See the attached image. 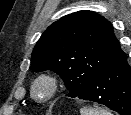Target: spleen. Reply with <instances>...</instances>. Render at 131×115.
I'll return each mask as SVG.
<instances>
[{"mask_svg":"<svg viewBox=\"0 0 131 115\" xmlns=\"http://www.w3.org/2000/svg\"><path fill=\"white\" fill-rule=\"evenodd\" d=\"M81 115H112L110 112L104 109H92V108H81Z\"/></svg>","mask_w":131,"mask_h":115,"instance_id":"obj_1","label":"spleen"}]
</instances>
